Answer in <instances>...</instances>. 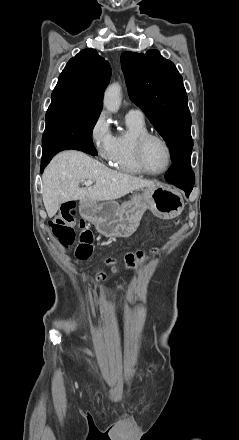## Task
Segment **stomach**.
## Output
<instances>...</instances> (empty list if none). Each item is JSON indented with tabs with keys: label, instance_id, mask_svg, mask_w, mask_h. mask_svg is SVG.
<instances>
[{
	"label": "stomach",
	"instance_id": "stomach-1",
	"mask_svg": "<svg viewBox=\"0 0 239 440\" xmlns=\"http://www.w3.org/2000/svg\"><path fill=\"white\" fill-rule=\"evenodd\" d=\"M184 206L178 190L159 186L154 190L146 188L142 194H134L131 200L123 202L121 206L114 200L96 202L84 198L79 202V214L94 224L97 232L105 238H129L136 232L146 210L160 220H173L182 214Z\"/></svg>",
	"mask_w": 239,
	"mask_h": 440
}]
</instances>
